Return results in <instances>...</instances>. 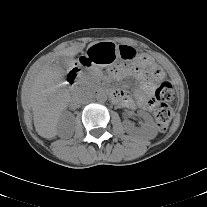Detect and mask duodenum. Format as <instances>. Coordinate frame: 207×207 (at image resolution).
Segmentation results:
<instances>
[{"instance_id":"obj_1","label":"duodenum","mask_w":207,"mask_h":207,"mask_svg":"<svg viewBox=\"0 0 207 207\" xmlns=\"http://www.w3.org/2000/svg\"><path fill=\"white\" fill-rule=\"evenodd\" d=\"M89 65L90 63L85 62L81 66H89ZM79 74H80V67L73 69L67 75V81L70 84L71 90L75 95L79 93V86H78ZM99 91L108 94L113 99L116 98L115 91L109 90L107 88H100Z\"/></svg>"}]
</instances>
